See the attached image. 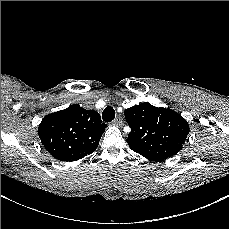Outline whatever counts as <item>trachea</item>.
<instances>
[{
  "mask_svg": "<svg viewBox=\"0 0 229 229\" xmlns=\"http://www.w3.org/2000/svg\"><path fill=\"white\" fill-rule=\"evenodd\" d=\"M102 118L104 122H111L115 118V110L113 109L112 106H107L103 113H102Z\"/></svg>",
  "mask_w": 229,
  "mask_h": 229,
  "instance_id": "obj_1",
  "label": "trachea"
}]
</instances>
